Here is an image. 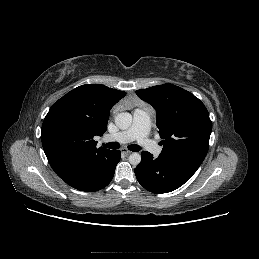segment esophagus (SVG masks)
Listing matches in <instances>:
<instances>
[{
  "instance_id": "1",
  "label": "esophagus",
  "mask_w": 259,
  "mask_h": 259,
  "mask_svg": "<svg viewBox=\"0 0 259 259\" xmlns=\"http://www.w3.org/2000/svg\"><path fill=\"white\" fill-rule=\"evenodd\" d=\"M121 152H122L123 154H125V155H130V154L132 153L130 150L125 149V148H123V149L121 150Z\"/></svg>"
}]
</instances>
